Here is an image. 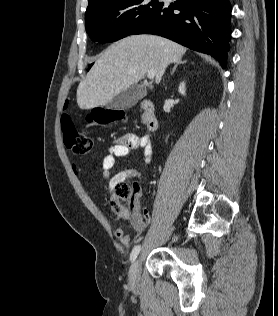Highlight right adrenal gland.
I'll return each mask as SVG.
<instances>
[{"instance_id":"1","label":"right adrenal gland","mask_w":278,"mask_h":316,"mask_svg":"<svg viewBox=\"0 0 278 316\" xmlns=\"http://www.w3.org/2000/svg\"><path fill=\"white\" fill-rule=\"evenodd\" d=\"M186 62H187V60H184V61L179 60V61H177L176 64L174 65V67H173V70H172V72H171V75L174 74V72H175V70H176V68H177V66H178L179 64H185Z\"/></svg>"}]
</instances>
